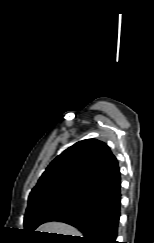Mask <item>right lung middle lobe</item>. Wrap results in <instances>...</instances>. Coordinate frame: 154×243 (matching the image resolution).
<instances>
[{
    "label": "right lung middle lobe",
    "mask_w": 154,
    "mask_h": 243,
    "mask_svg": "<svg viewBox=\"0 0 154 243\" xmlns=\"http://www.w3.org/2000/svg\"><path fill=\"white\" fill-rule=\"evenodd\" d=\"M85 200L69 196H44L28 201V207L24 217V231L34 233V230L53 215L66 208H74L82 205Z\"/></svg>",
    "instance_id": "right-lung-middle-lobe-1"
}]
</instances>
